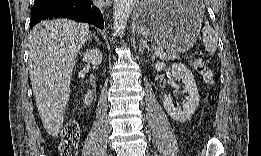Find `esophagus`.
Masks as SVG:
<instances>
[{"instance_id": "1", "label": "esophagus", "mask_w": 261, "mask_h": 156, "mask_svg": "<svg viewBox=\"0 0 261 156\" xmlns=\"http://www.w3.org/2000/svg\"><path fill=\"white\" fill-rule=\"evenodd\" d=\"M109 5H110V2H109V1H106V2L103 3V6H105V7H107V6H109Z\"/></svg>"}]
</instances>
